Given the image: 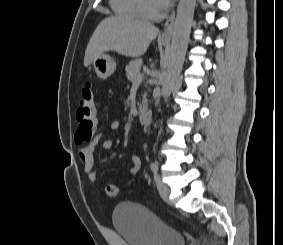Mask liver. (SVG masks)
Returning a JSON list of instances; mask_svg holds the SVG:
<instances>
[{
	"instance_id": "liver-1",
	"label": "liver",
	"mask_w": 283,
	"mask_h": 245,
	"mask_svg": "<svg viewBox=\"0 0 283 245\" xmlns=\"http://www.w3.org/2000/svg\"><path fill=\"white\" fill-rule=\"evenodd\" d=\"M159 29L153 24L123 16L108 17L100 22L87 45L84 66L107 51L126 57L143 55Z\"/></svg>"
}]
</instances>
